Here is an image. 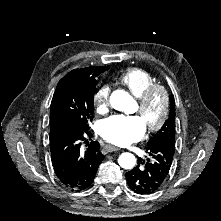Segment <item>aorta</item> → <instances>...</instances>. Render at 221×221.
I'll list each match as a JSON object with an SVG mask.
<instances>
[{
	"label": "aorta",
	"mask_w": 221,
	"mask_h": 221,
	"mask_svg": "<svg viewBox=\"0 0 221 221\" xmlns=\"http://www.w3.org/2000/svg\"><path fill=\"white\" fill-rule=\"evenodd\" d=\"M110 103L118 111L129 112L135 101L127 92L116 90L111 94ZM118 163L124 169H132L136 164V158L131 153H122L118 158Z\"/></svg>",
	"instance_id": "obj_1"
}]
</instances>
